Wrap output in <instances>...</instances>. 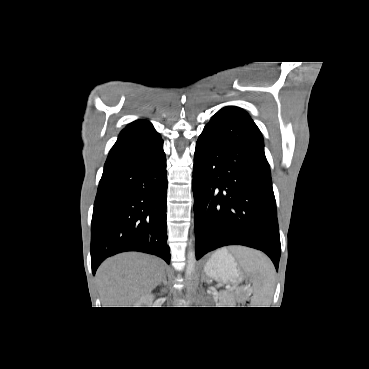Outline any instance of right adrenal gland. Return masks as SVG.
<instances>
[{
    "label": "right adrenal gland",
    "mask_w": 369,
    "mask_h": 369,
    "mask_svg": "<svg viewBox=\"0 0 369 369\" xmlns=\"http://www.w3.org/2000/svg\"><path fill=\"white\" fill-rule=\"evenodd\" d=\"M161 283H163L165 286L167 285V279H166V274L165 273L163 274L162 282H160L159 285H161Z\"/></svg>",
    "instance_id": "right-adrenal-gland-1"
}]
</instances>
